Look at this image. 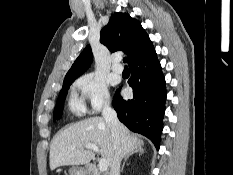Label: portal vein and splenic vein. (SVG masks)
<instances>
[{"instance_id": "portal-vein-and-splenic-vein-1", "label": "portal vein and splenic vein", "mask_w": 233, "mask_h": 175, "mask_svg": "<svg viewBox=\"0 0 233 175\" xmlns=\"http://www.w3.org/2000/svg\"><path fill=\"white\" fill-rule=\"evenodd\" d=\"M85 148H87V149H91V150H93L94 152H96V153H99V147H97L96 145H94V144H86L85 145ZM108 161L105 159V158H100V160H99V170L101 171V172H104V171H106L107 169H108Z\"/></svg>"}]
</instances>
